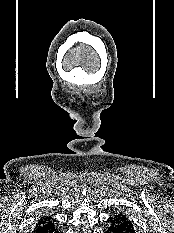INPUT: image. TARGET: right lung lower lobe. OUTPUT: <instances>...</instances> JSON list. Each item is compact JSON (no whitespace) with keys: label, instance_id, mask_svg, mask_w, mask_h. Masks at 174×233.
Segmentation results:
<instances>
[{"label":"right lung lower lobe","instance_id":"98d812e1","mask_svg":"<svg viewBox=\"0 0 174 233\" xmlns=\"http://www.w3.org/2000/svg\"><path fill=\"white\" fill-rule=\"evenodd\" d=\"M34 233H61L56 225L43 227L34 231Z\"/></svg>","mask_w":174,"mask_h":233}]
</instances>
